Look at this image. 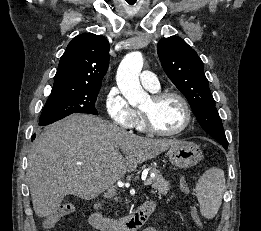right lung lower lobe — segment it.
Here are the masks:
<instances>
[{
	"label": "right lung lower lobe",
	"instance_id": "98d812e1",
	"mask_svg": "<svg viewBox=\"0 0 261 231\" xmlns=\"http://www.w3.org/2000/svg\"><path fill=\"white\" fill-rule=\"evenodd\" d=\"M35 138V136H32V139H34Z\"/></svg>",
	"mask_w": 261,
	"mask_h": 231
}]
</instances>
